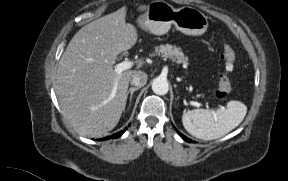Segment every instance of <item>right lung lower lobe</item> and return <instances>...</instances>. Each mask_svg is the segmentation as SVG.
I'll list each match as a JSON object with an SVG mask.
<instances>
[{"label": "right lung lower lobe", "mask_w": 288, "mask_h": 181, "mask_svg": "<svg viewBox=\"0 0 288 181\" xmlns=\"http://www.w3.org/2000/svg\"><path fill=\"white\" fill-rule=\"evenodd\" d=\"M126 131V128L118 133L113 134L112 136H107L106 138H103V140L105 139H114V138H118L120 137L124 132Z\"/></svg>", "instance_id": "right-lung-lower-lobe-1"}]
</instances>
